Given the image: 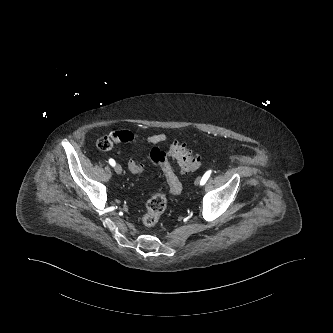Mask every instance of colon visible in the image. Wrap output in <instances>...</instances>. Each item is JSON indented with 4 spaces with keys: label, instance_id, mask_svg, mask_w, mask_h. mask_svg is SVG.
Segmentation results:
<instances>
[{
    "label": "colon",
    "instance_id": "1",
    "mask_svg": "<svg viewBox=\"0 0 333 333\" xmlns=\"http://www.w3.org/2000/svg\"><path fill=\"white\" fill-rule=\"evenodd\" d=\"M114 145L112 136H103L97 140L96 146L102 151L110 150ZM169 155L174 158L182 172H190L199 168L200 158L193 155L181 142H173L169 147ZM151 163L159 166L165 176L168 192L172 195H179L182 191V184L176 175L173 167L168 161V154L159 147H153L148 154ZM127 167L133 174H141L145 170L144 164L137 157H130L127 160ZM167 196L163 192L153 194L146 204V210L142 222L146 227H154L167 208Z\"/></svg>",
    "mask_w": 333,
    "mask_h": 333
}]
</instances>
